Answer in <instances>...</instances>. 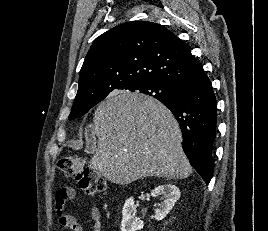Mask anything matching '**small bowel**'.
Listing matches in <instances>:
<instances>
[{"label":"small bowel","instance_id":"1","mask_svg":"<svg viewBox=\"0 0 268 231\" xmlns=\"http://www.w3.org/2000/svg\"><path fill=\"white\" fill-rule=\"evenodd\" d=\"M63 191H68L69 194L65 197L61 195ZM75 191L71 187H65L61 189L56 196V215L58 223L61 227L68 229L69 231H83L81 225L77 221L76 217L67 212L65 205L68 201L74 199ZM91 216L94 223V231H103L101 223V214L97 207H92Z\"/></svg>","mask_w":268,"mask_h":231}]
</instances>
